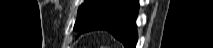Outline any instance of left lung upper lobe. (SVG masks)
<instances>
[{
    "label": "left lung upper lobe",
    "instance_id": "obj_1",
    "mask_svg": "<svg viewBox=\"0 0 213 48\" xmlns=\"http://www.w3.org/2000/svg\"><path fill=\"white\" fill-rule=\"evenodd\" d=\"M115 0H85L78 8V15L74 28L83 30L92 17L101 9L109 6Z\"/></svg>",
    "mask_w": 213,
    "mask_h": 48
}]
</instances>
